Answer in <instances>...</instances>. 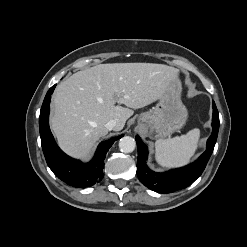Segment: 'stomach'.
<instances>
[{"instance_id": "0dacf381", "label": "stomach", "mask_w": 247, "mask_h": 247, "mask_svg": "<svg viewBox=\"0 0 247 247\" xmlns=\"http://www.w3.org/2000/svg\"><path fill=\"white\" fill-rule=\"evenodd\" d=\"M181 83L173 81L158 99L157 104L138 118L150 137L165 138L181 129L188 118L186 107L181 102Z\"/></svg>"}]
</instances>
